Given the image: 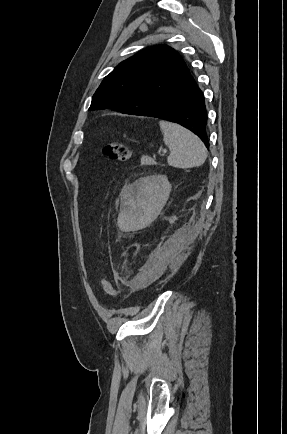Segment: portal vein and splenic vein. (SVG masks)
Instances as JSON below:
<instances>
[{
  "label": "portal vein and splenic vein",
  "mask_w": 287,
  "mask_h": 434,
  "mask_svg": "<svg viewBox=\"0 0 287 434\" xmlns=\"http://www.w3.org/2000/svg\"><path fill=\"white\" fill-rule=\"evenodd\" d=\"M163 153H166V150H163Z\"/></svg>",
  "instance_id": "portal-vein-and-splenic-vein-1"
}]
</instances>
